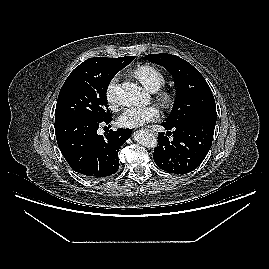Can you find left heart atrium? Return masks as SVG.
<instances>
[{
	"label": "left heart atrium",
	"mask_w": 269,
	"mask_h": 269,
	"mask_svg": "<svg viewBox=\"0 0 269 269\" xmlns=\"http://www.w3.org/2000/svg\"><path fill=\"white\" fill-rule=\"evenodd\" d=\"M159 110L155 106L130 107L118 118V124L122 127L136 128L159 118Z\"/></svg>",
	"instance_id": "1"
}]
</instances>
